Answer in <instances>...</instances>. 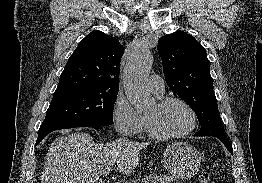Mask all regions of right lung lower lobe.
Listing matches in <instances>:
<instances>
[{"label": "right lung lower lobe", "instance_id": "obj_1", "mask_svg": "<svg viewBox=\"0 0 262 183\" xmlns=\"http://www.w3.org/2000/svg\"><path fill=\"white\" fill-rule=\"evenodd\" d=\"M74 127H93V128H96V129H103L105 126L92 125V124L84 123V122H79V123H54V124L42 125L39 129L38 139H37L36 145L39 142H41L42 139L52 131H55V130H58V129L74 128Z\"/></svg>", "mask_w": 262, "mask_h": 183}]
</instances>
